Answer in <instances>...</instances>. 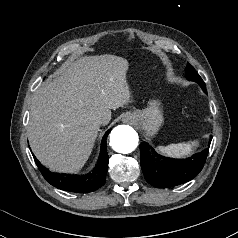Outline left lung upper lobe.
Instances as JSON below:
<instances>
[{
  "label": "left lung upper lobe",
  "instance_id": "obj_1",
  "mask_svg": "<svg viewBox=\"0 0 238 238\" xmlns=\"http://www.w3.org/2000/svg\"><path fill=\"white\" fill-rule=\"evenodd\" d=\"M186 78L191 81L197 82L198 84L201 85L202 89L205 92H207L204 81L189 63L187 64V67H186Z\"/></svg>",
  "mask_w": 238,
  "mask_h": 238
}]
</instances>
